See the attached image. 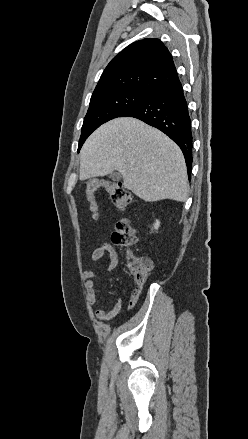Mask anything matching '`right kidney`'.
<instances>
[{
  "label": "right kidney",
  "instance_id": "1",
  "mask_svg": "<svg viewBox=\"0 0 248 439\" xmlns=\"http://www.w3.org/2000/svg\"><path fill=\"white\" fill-rule=\"evenodd\" d=\"M159 226H160V221H159V220H156L155 223L153 224V228H152V230H153V229H154V230H158Z\"/></svg>",
  "mask_w": 248,
  "mask_h": 439
}]
</instances>
